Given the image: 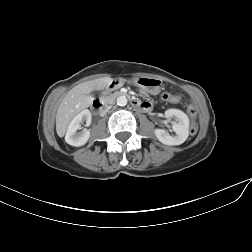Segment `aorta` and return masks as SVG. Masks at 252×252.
Segmentation results:
<instances>
[{
	"label": "aorta",
	"instance_id": "obj_1",
	"mask_svg": "<svg viewBox=\"0 0 252 252\" xmlns=\"http://www.w3.org/2000/svg\"><path fill=\"white\" fill-rule=\"evenodd\" d=\"M128 100L125 96H119L117 98V105L119 106H125L127 104Z\"/></svg>",
	"mask_w": 252,
	"mask_h": 252
}]
</instances>
